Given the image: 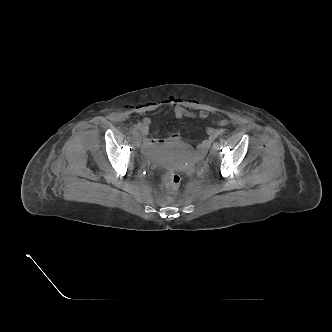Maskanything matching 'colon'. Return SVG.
I'll return each instance as SVG.
<instances>
[{"mask_svg": "<svg viewBox=\"0 0 332 332\" xmlns=\"http://www.w3.org/2000/svg\"><path fill=\"white\" fill-rule=\"evenodd\" d=\"M159 177L163 186L170 191L176 190L180 185L181 178L173 171H163L160 173Z\"/></svg>", "mask_w": 332, "mask_h": 332, "instance_id": "5ec220e1", "label": "colon"}]
</instances>
